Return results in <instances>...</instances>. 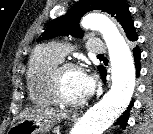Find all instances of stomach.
Here are the masks:
<instances>
[{"label":"stomach","mask_w":153,"mask_h":134,"mask_svg":"<svg viewBox=\"0 0 153 134\" xmlns=\"http://www.w3.org/2000/svg\"><path fill=\"white\" fill-rule=\"evenodd\" d=\"M51 126L39 121L38 118L20 120L9 130V134H44Z\"/></svg>","instance_id":"0dacf381"}]
</instances>
